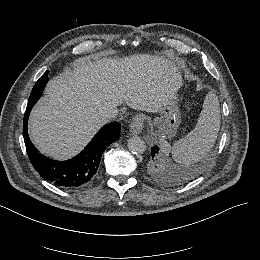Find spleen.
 Here are the masks:
<instances>
[{
	"label": "spleen",
	"instance_id": "1",
	"mask_svg": "<svg viewBox=\"0 0 260 260\" xmlns=\"http://www.w3.org/2000/svg\"><path fill=\"white\" fill-rule=\"evenodd\" d=\"M219 127V102L215 94L210 92L206 95L194 129L172 146L164 139L160 141V145L165 155L171 151L177 163L189 165L204 157L214 146Z\"/></svg>",
	"mask_w": 260,
	"mask_h": 260
}]
</instances>
